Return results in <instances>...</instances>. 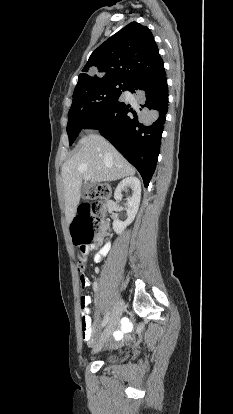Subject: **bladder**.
Instances as JSON below:
<instances>
[{
  "mask_svg": "<svg viewBox=\"0 0 233 414\" xmlns=\"http://www.w3.org/2000/svg\"><path fill=\"white\" fill-rule=\"evenodd\" d=\"M113 359H114V356H113V355H108V356H107V360H108V361H111V360H113Z\"/></svg>",
  "mask_w": 233,
  "mask_h": 414,
  "instance_id": "bladder-1",
  "label": "bladder"
}]
</instances>
